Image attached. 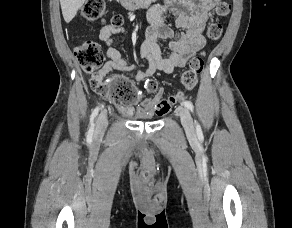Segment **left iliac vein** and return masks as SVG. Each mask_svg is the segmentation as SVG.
<instances>
[{
    "label": "left iliac vein",
    "instance_id": "1",
    "mask_svg": "<svg viewBox=\"0 0 292 228\" xmlns=\"http://www.w3.org/2000/svg\"><path fill=\"white\" fill-rule=\"evenodd\" d=\"M178 114L180 116L181 123H182L183 127L185 128L186 132L189 135H194L195 134V127H194L192 116H191L189 110L187 108L181 106L178 109Z\"/></svg>",
    "mask_w": 292,
    "mask_h": 228
}]
</instances>
